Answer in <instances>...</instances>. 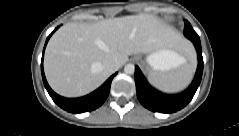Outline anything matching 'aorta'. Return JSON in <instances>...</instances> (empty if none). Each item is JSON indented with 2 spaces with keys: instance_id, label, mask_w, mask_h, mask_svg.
Instances as JSON below:
<instances>
[{
  "instance_id": "1",
  "label": "aorta",
  "mask_w": 239,
  "mask_h": 136,
  "mask_svg": "<svg viewBox=\"0 0 239 136\" xmlns=\"http://www.w3.org/2000/svg\"><path fill=\"white\" fill-rule=\"evenodd\" d=\"M124 72L126 74H134L135 72V66L133 64H127L124 67Z\"/></svg>"
}]
</instances>
